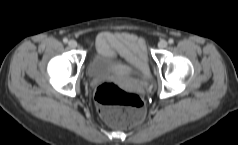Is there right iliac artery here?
<instances>
[{
  "mask_svg": "<svg viewBox=\"0 0 238 145\" xmlns=\"http://www.w3.org/2000/svg\"><path fill=\"white\" fill-rule=\"evenodd\" d=\"M63 42H64V43H67V42H68V39H67V38H64V39H63Z\"/></svg>",
  "mask_w": 238,
  "mask_h": 145,
  "instance_id": "obj_1",
  "label": "right iliac artery"
}]
</instances>
